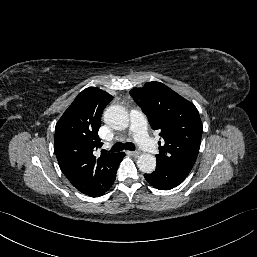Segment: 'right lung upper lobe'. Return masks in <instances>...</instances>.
Wrapping results in <instances>:
<instances>
[{
    "label": "right lung upper lobe",
    "instance_id": "right-lung-upper-lobe-1",
    "mask_svg": "<svg viewBox=\"0 0 257 257\" xmlns=\"http://www.w3.org/2000/svg\"><path fill=\"white\" fill-rule=\"evenodd\" d=\"M113 97L95 87L84 89L55 127L54 151L63 174L80 192L97 197L107 186L118 154L94 156L102 146L101 115Z\"/></svg>",
    "mask_w": 257,
    "mask_h": 257
}]
</instances>
